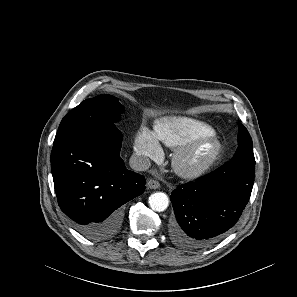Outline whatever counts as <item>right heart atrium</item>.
Instances as JSON below:
<instances>
[{"instance_id": "obj_1", "label": "right heart atrium", "mask_w": 297, "mask_h": 297, "mask_svg": "<svg viewBox=\"0 0 297 297\" xmlns=\"http://www.w3.org/2000/svg\"><path fill=\"white\" fill-rule=\"evenodd\" d=\"M134 150L144 164H148L150 160H157L162 155L157 137L146 127L141 128L137 133Z\"/></svg>"}]
</instances>
